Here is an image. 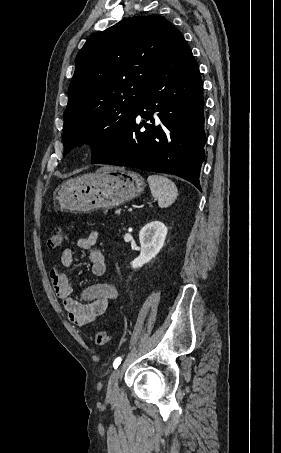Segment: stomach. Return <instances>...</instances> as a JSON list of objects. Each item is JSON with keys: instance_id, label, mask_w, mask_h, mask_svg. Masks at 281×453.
Listing matches in <instances>:
<instances>
[{"instance_id": "0dacf381", "label": "stomach", "mask_w": 281, "mask_h": 453, "mask_svg": "<svg viewBox=\"0 0 281 453\" xmlns=\"http://www.w3.org/2000/svg\"><path fill=\"white\" fill-rule=\"evenodd\" d=\"M145 186L140 174L122 166H106L97 172H87L62 182L56 188L54 198L61 210L92 212L133 200L140 196Z\"/></svg>"}]
</instances>
